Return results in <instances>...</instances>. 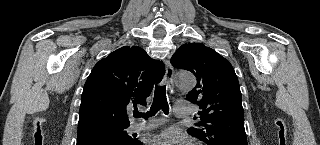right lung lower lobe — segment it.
<instances>
[{"mask_svg":"<svg viewBox=\"0 0 320 145\" xmlns=\"http://www.w3.org/2000/svg\"><path fill=\"white\" fill-rule=\"evenodd\" d=\"M77 145H142L137 139L127 143L100 132L78 134Z\"/></svg>","mask_w":320,"mask_h":145,"instance_id":"obj_1","label":"right lung lower lobe"}]
</instances>
